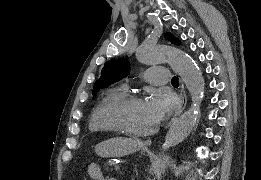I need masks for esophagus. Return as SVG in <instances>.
<instances>
[{"mask_svg":"<svg viewBox=\"0 0 261 180\" xmlns=\"http://www.w3.org/2000/svg\"><path fill=\"white\" fill-rule=\"evenodd\" d=\"M186 103H187V97H186L185 87H184L183 83H181V87H180V106L176 110V112L173 115V117L171 118L170 124L173 123L174 120H176V118L181 114V112L186 107ZM142 143H143V145H151L152 141L150 139H148V140H144Z\"/></svg>","mask_w":261,"mask_h":180,"instance_id":"34e87169","label":"esophagus"}]
</instances>
